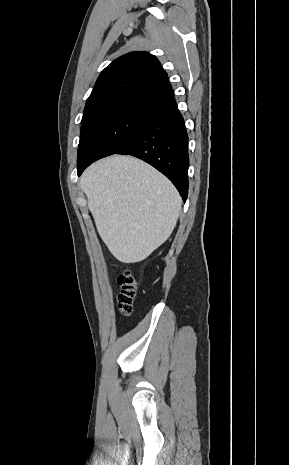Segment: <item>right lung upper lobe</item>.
Listing matches in <instances>:
<instances>
[{
	"label": "right lung upper lobe",
	"instance_id": "right-lung-upper-lobe-1",
	"mask_svg": "<svg viewBox=\"0 0 289 465\" xmlns=\"http://www.w3.org/2000/svg\"><path fill=\"white\" fill-rule=\"evenodd\" d=\"M173 99L167 73L158 59L146 52H130L106 67L87 99L83 118L127 101L165 104Z\"/></svg>",
	"mask_w": 289,
	"mask_h": 465
}]
</instances>
